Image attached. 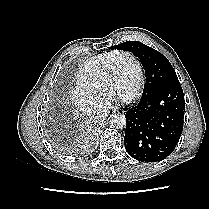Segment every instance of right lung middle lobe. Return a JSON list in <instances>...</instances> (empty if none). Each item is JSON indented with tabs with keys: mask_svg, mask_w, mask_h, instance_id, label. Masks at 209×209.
I'll return each mask as SVG.
<instances>
[{
	"mask_svg": "<svg viewBox=\"0 0 209 209\" xmlns=\"http://www.w3.org/2000/svg\"><path fill=\"white\" fill-rule=\"evenodd\" d=\"M55 145L63 152L66 153H79L81 149L79 147L72 146V144H68L64 138L56 136L53 138Z\"/></svg>",
	"mask_w": 209,
	"mask_h": 209,
	"instance_id": "1",
	"label": "right lung middle lobe"
}]
</instances>
